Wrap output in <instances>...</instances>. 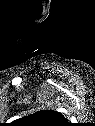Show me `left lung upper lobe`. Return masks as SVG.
I'll return each instance as SVG.
<instances>
[{"label": "left lung upper lobe", "mask_w": 95, "mask_h": 126, "mask_svg": "<svg viewBox=\"0 0 95 126\" xmlns=\"http://www.w3.org/2000/svg\"><path fill=\"white\" fill-rule=\"evenodd\" d=\"M24 126H64V116L54 110H41L20 119Z\"/></svg>", "instance_id": "obj_1"}]
</instances>
